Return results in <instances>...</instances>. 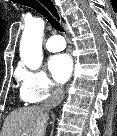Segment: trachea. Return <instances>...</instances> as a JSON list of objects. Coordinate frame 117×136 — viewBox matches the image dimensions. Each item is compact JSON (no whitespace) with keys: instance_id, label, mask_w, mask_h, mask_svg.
Segmentation results:
<instances>
[{"instance_id":"trachea-1","label":"trachea","mask_w":117,"mask_h":136,"mask_svg":"<svg viewBox=\"0 0 117 136\" xmlns=\"http://www.w3.org/2000/svg\"><path fill=\"white\" fill-rule=\"evenodd\" d=\"M18 3L24 6H28L36 10L38 13H40L42 16H44L50 25L57 31L63 32L62 26L59 24V22L53 17V15L47 10L49 9L48 6L46 8L39 3L37 0H17Z\"/></svg>"}]
</instances>
